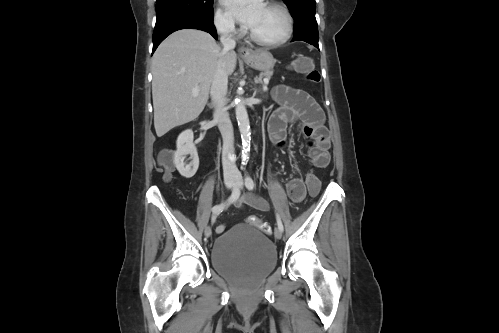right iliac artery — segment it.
Masks as SVG:
<instances>
[{
    "label": "right iliac artery",
    "instance_id": "82829eb1",
    "mask_svg": "<svg viewBox=\"0 0 499 333\" xmlns=\"http://www.w3.org/2000/svg\"><path fill=\"white\" fill-rule=\"evenodd\" d=\"M239 196H240L239 189L237 187H234L230 197L228 198V200L226 202L221 203L219 205H215L212 208V221H215L216 216L218 214H220L227 206H229L231 203L236 201L239 198Z\"/></svg>",
    "mask_w": 499,
    "mask_h": 333
}]
</instances>
